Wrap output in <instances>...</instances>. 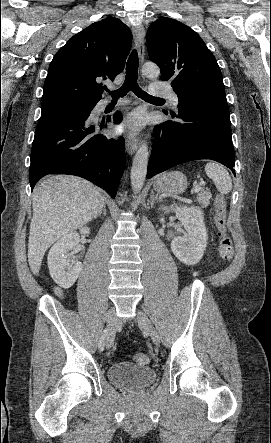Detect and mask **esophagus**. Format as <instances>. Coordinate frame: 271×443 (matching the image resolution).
Wrapping results in <instances>:
<instances>
[{"mask_svg":"<svg viewBox=\"0 0 271 443\" xmlns=\"http://www.w3.org/2000/svg\"><path fill=\"white\" fill-rule=\"evenodd\" d=\"M132 34L137 48L140 62L143 63L145 57V30L143 25H135L132 27ZM138 147V140L133 138L126 139V150L132 156Z\"/></svg>","mask_w":271,"mask_h":443,"instance_id":"34e87169","label":"esophagus"}]
</instances>
